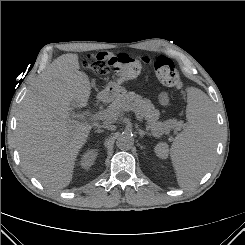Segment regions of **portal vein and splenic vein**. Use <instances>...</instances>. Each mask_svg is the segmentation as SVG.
Wrapping results in <instances>:
<instances>
[{
  "label": "portal vein and splenic vein",
  "mask_w": 245,
  "mask_h": 245,
  "mask_svg": "<svg viewBox=\"0 0 245 245\" xmlns=\"http://www.w3.org/2000/svg\"><path fill=\"white\" fill-rule=\"evenodd\" d=\"M130 110H132L135 113L136 119L139 122L143 121V116L141 115V113L138 109H130ZM106 117H107V113L105 111H101L98 114L92 116V119H102V118H106Z\"/></svg>",
  "instance_id": "portal-vein-and-splenic-vein-1"
}]
</instances>
